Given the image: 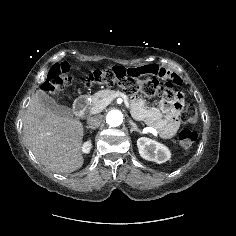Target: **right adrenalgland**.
Instances as JSON below:
<instances>
[{
    "mask_svg": "<svg viewBox=\"0 0 236 236\" xmlns=\"http://www.w3.org/2000/svg\"><path fill=\"white\" fill-rule=\"evenodd\" d=\"M85 128H86V130H89V129L90 130H95L96 129V127H91V126H86Z\"/></svg>",
    "mask_w": 236,
    "mask_h": 236,
    "instance_id": "right-adrenal-gland-1",
    "label": "right adrenal gland"
}]
</instances>
